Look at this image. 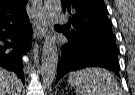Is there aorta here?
Wrapping results in <instances>:
<instances>
[{"mask_svg":"<svg viewBox=\"0 0 135 95\" xmlns=\"http://www.w3.org/2000/svg\"><path fill=\"white\" fill-rule=\"evenodd\" d=\"M61 8V0H44V16L49 28L53 27ZM48 33L43 44L41 63L42 82L45 88H49L53 83L58 65L57 46L50 31Z\"/></svg>","mask_w":135,"mask_h":95,"instance_id":"1","label":"aorta"}]
</instances>
